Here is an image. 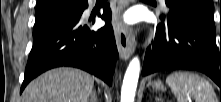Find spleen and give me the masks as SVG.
<instances>
[{
  "instance_id": "3e777b00",
  "label": "spleen",
  "mask_w": 221,
  "mask_h": 102,
  "mask_svg": "<svg viewBox=\"0 0 221 102\" xmlns=\"http://www.w3.org/2000/svg\"><path fill=\"white\" fill-rule=\"evenodd\" d=\"M166 84L178 102H187L189 96L195 102H218L211 84L198 74L176 71L167 76Z\"/></svg>"
}]
</instances>
